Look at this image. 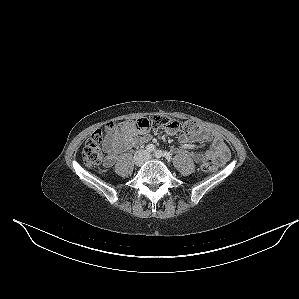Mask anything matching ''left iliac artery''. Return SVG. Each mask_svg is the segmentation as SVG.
<instances>
[{"mask_svg":"<svg viewBox=\"0 0 299 299\" xmlns=\"http://www.w3.org/2000/svg\"><path fill=\"white\" fill-rule=\"evenodd\" d=\"M163 156H166L167 159L170 158V156H169L168 154L162 152L161 150H157V151L155 152V157H156V158H161V157H163Z\"/></svg>","mask_w":299,"mask_h":299,"instance_id":"left-iliac-artery-1","label":"left iliac artery"}]
</instances>
